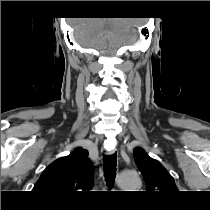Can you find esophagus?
Masks as SVG:
<instances>
[{"label":"esophagus","mask_w":210,"mask_h":210,"mask_svg":"<svg viewBox=\"0 0 210 210\" xmlns=\"http://www.w3.org/2000/svg\"><path fill=\"white\" fill-rule=\"evenodd\" d=\"M103 155H112L115 150L112 147H109L107 144H104L101 150Z\"/></svg>","instance_id":"esophagus-1"}]
</instances>
